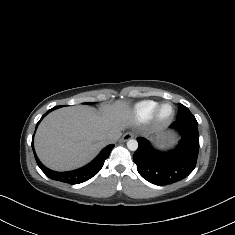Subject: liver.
<instances>
[{"label":"liver","mask_w":235,"mask_h":235,"mask_svg":"<svg viewBox=\"0 0 235 235\" xmlns=\"http://www.w3.org/2000/svg\"><path fill=\"white\" fill-rule=\"evenodd\" d=\"M130 105L64 107L49 113L39 124L34 146L40 161L55 171H69L89 163L106 146L105 137L132 125Z\"/></svg>","instance_id":"6515ba94"}]
</instances>
